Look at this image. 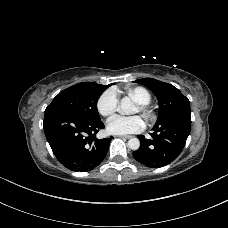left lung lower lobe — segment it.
<instances>
[{
  "label": "left lung lower lobe",
  "mask_w": 228,
  "mask_h": 228,
  "mask_svg": "<svg viewBox=\"0 0 228 228\" xmlns=\"http://www.w3.org/2000/svg\"><path fill=\"white\" fill-rule=\"evenodd\" d=\"M182 120L181 126H176L174 117H170L159 125H155L152 139L143 135L138 138L140 148L133 152L134 158L150 168H159L174 161L182 152L191 128V112L182 111L178 115Z\"/></svg>",
  "instance_id": "obj_1"
}]
</instances>
